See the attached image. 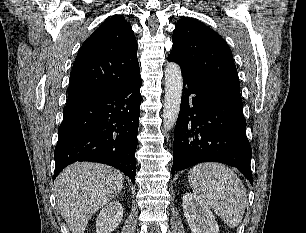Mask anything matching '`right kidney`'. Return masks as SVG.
<instances>
[{
  "label": "right kidney",
  "instance_id": "1",
  "mask_svg": "<svg viewBox=\"0 0 306 233\" xmlns=\"http://www.w3.org/2000/svg\"><path fill=\"white\" fill-rule=\"evenodd\" d=\"M123 207L119 201L107 204L99 213L96 220V233H111L121 223Z\"/></svg>",
  "mask_w": 306,
  "mask_h": 233
}]
</instances>
